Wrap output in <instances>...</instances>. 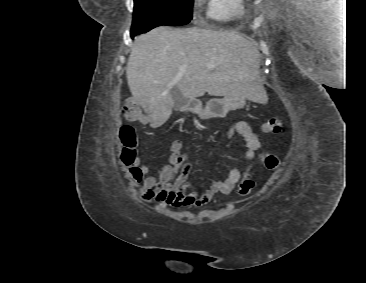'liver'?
<instances>
[{
  "label": "liver",
  "mask_w": 366,
  "mask_h": 283,
  "mask_svg": "<svg viewBox=\"0 0 366 283\" xmlns=\"http://www.w3.org/2000/svg\"><path fill=\"white\" fill-rule=\"evenodd\" d=\"M259 57L255 43L235 31L161 26L135 39L126 76L132 96L156 128L172 113L173 87L186 101L208 93L261 103Z\"/></svg>",
  "instance_id": "obj_1"
}]
</instances>
